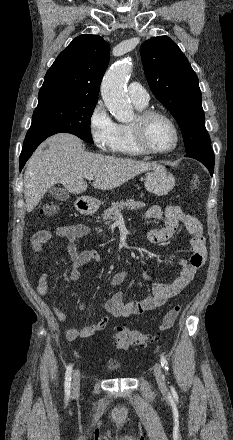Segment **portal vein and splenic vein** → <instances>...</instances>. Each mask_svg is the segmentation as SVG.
<instances>
[{
    "label": "portal vein and splenic vein",
    "mask_w": 233,
    "mask_h": 440,
    "mask_svg": "<svg viewBox=\"0 0 233 440\" xmlns=\"http://www.w3.org/2000/svg\"><path fill=\"white\" fill-rule=\"evenodd\" d=\"M85 178L87 180H92L93 179V175L92 174H87V175H85Z\"/></svg>",
    "instance_id": "portal-vein-and-splenic-vein-1"
}]
</instances>
